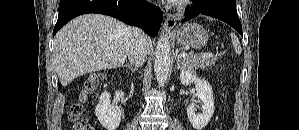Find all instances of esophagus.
<instances>
[{"label": "esophagus", "mask_w": 299, "mask_h": 130, "mask_svg": "<svg viewBox=\"0 0 299 130\" xmlns=\"http://www.w3.org/2000/svg\"><path fill=\"white\" fill-rule=\"evenodd\" d=\"M177 19L173 16H168L164 22V30L170 32L171 29L176 25Z\"/></svg>", "instance_id": "34e87169"}]
</instances>
